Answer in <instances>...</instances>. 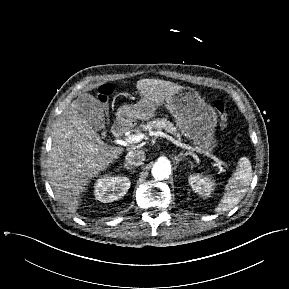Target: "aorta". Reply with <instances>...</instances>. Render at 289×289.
I'll use <instances>...</instances> for the list:
<instances>
[{
	"mask_svg": "<svg viewBox=\"0 0 289 289\" xmlns=\"http://www.w3.org/2000/svg\"><path fill=\"white\" fill-rule=\"evenodd\" d=\"M151 172H152L153 177L158 180L166 179L169 177L171 173V164L167 159L160 158L153 165Z\"/></svg>",
	"mask_w": 289,
	"mask_h": 289,
	"instance_id": "obj_1",
	"label": "aorta"
}]
</instances>
